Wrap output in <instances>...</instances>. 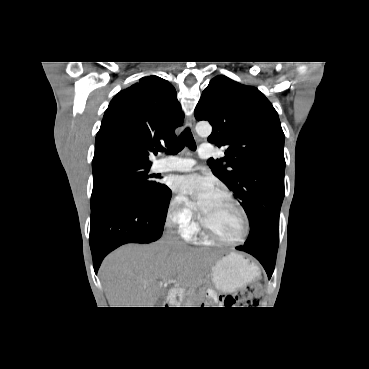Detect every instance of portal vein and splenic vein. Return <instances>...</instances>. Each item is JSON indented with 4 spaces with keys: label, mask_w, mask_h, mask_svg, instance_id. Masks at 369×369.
Instances as JSON below:
<instances>
[{
    "label": "portal vein and splenic vein",
    "mask_w": 369,
    "mask_h": 369,
    "mask_svg": "<svg viewBox=\"0 0 369 369\" xmlns=\"http://www.w3.org/2000/svg\"><path fill=\"white\" fill-rule=\"evenodd\" d=\"M170 283H172V280H168L165 282V284H170Z\"/></svg>",
    "instance_id": "obj_1"
}]
</instances>
